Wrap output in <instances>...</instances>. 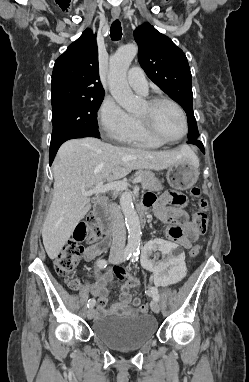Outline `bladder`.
<instances>
[{"label":"bladder","mask_w":249,"mask_h":382,"mask_svg":"<svg viewBox=\"0 0 249 382\" xmlns=\"http://www.w3.org/2000/svg\"><path fill=\"white\" fill-rule=\"evenodd\" d=\"M157 329L156 319L148 314L108 316L93 324L94 335L108 347L120 351L143 347L156 336Z\"/></svg>","instance_id":"1"}]
</instances>
